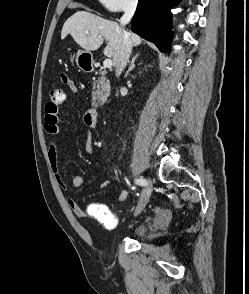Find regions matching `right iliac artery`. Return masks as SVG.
<instances>
[{
  "instance_id": "82829eb1",
  "label": "right iliac artery",
  "mask_w": 249,
  "mask_h": 294,
  "mask_svg": "<svg viewBox=\"0 0 249 294\" xmlns=\"http://www.w3.org/2000/svg\"><path fill=\"white\" fill-rule=\"evenodd\" d=\"M135 183L140 185V186H146L147 185V181L143 178H138L135 180Z\"/></svg>"
}]
</instances>
